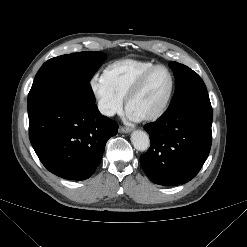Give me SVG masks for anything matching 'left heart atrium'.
Instances as JSON below:
<instances>
[{
	"mask_svg": "<svg viewBox=\"0 0 247 247\" xmlns=\"http://www.w3.org/2000/svg\"><path fill=\"white\" fill-rule=\"evenodd\" d=\"M127 116L131 120H139L141 117L138 113L132 111L131 109L127 110Z\"/></svg>",
	"mask_w": 247,
	"mask_h": 247,
	"instance_id": "39dd6f15",
	"label": "left heart atrium"
}]
</instances>
